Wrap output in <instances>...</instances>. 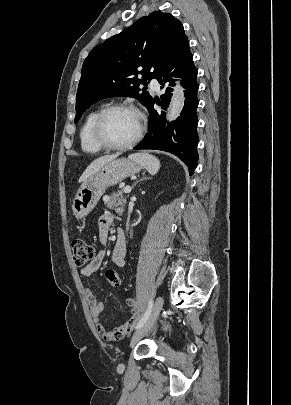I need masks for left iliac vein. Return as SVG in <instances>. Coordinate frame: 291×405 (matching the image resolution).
Returning <instances> with one entry per match:
<instances>
[{
    "mask_svg": "<svg viewBox=\"0 0 291 405\" xmlns=\"http://www.w3.org/2000/svg\"><path fill=\"white\" fill-rule=\"evenodd\" d=\"M162 306H163V298L161 296H158L155 300L152 312L148 320L132 336L130 344L131 346H134L142 337H144L153 328L160 314Z\"/></svg>",
    "mask_w": 291,
    "mask_h": 405,
    "instance_id": "left-iliac-vein-1",
    "label": "left iliac vein"
}]
</instances>
